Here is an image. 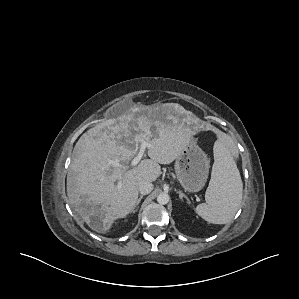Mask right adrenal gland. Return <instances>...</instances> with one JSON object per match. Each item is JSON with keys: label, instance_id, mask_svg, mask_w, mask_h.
I'll return each instance as SVG.
<instances>
[{"label": "right adrenal gland", "instance_id": "2a0ac1e0", "mask_svg": "<svg viewBox=\"0 0 299 299\" xmlns=\"http://www.w3.org/2000/svg\"><path fill=\"white\" fill-rule=\"evenodd\" d=\"M143 195H141L139 198H138V200H137V202H136V206H135V208L132 210V213H135L137 210H138V207H139V204H140V202H141V200L143 199Z\"/></svg>", "mask_w": 299, "mask_h": 299}]
</instances>
